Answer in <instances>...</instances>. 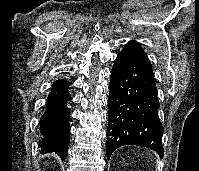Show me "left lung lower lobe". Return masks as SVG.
Returning a JSON list of instances; mask_svg holds the SVG:
<instances>
[{
	"label": "left lung lower lobe",
	"mask_w": 199,
	"mask_h": 171,
	"mask_svg": "<svg viewBox=\"0 0 199 171\" xmlns=\"http://www.w3.org/2000/svg\"><path fill=\"white\" fill-rule=\"evenodd\" d=\"M106 154L123 145L150 148L163 156V127L155 78L147 54L128 42L111 70Z\"/></svg>",
	"instance_id": "obj_1"
}]
</instances>
